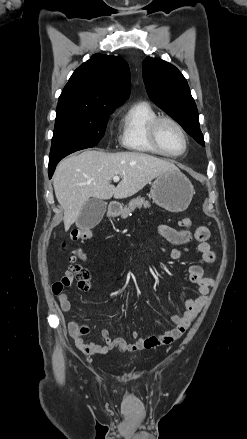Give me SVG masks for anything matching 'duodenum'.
I'll use <instances>...</instances> for the list:
<instances>
[{
  "label": "duodenum",
  "mask_w": 247,
  "mask_h": 439,
  "mask_svg": "<svg viewBox=\"0 0 247 439\" xmlns=\"http://www.w3.org/2000/svg\"><path fill=\"white\" fill-rule=\"evenodd\" d=\"M119 211V207L116 204H111L108 208V217H114Z\"/></svg>",
  "instance_id": "1"
}]
</instances>
